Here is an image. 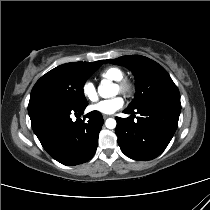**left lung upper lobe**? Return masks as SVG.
I'll list each match as a JSON object with an SVG mask.
<instances>
[{"label": "left lung upper lobe", "mask_w": 210, "mask_h": 210, "mask_svg": "<svg viewBox=\"0 0 210 210\" xmlns=\"http://www.w3.org/2000/svg\"><path fill=\"white\" fill-rule=\"evenodd\" d=\"M106 62L126 66L135 76L136 93L128 108H136L152 100H180L177 86L157 62L140 55L122 56Z\"/></svg>", "instance_id": "left-lung-upper-lobe-1"}]
</instances>
